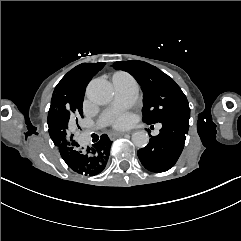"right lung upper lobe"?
<instances>
[{
    "instance_id": "cb5924a9",
    "label": "right lung upper lobe",
    "mask_w": 241,
    "mask_h": 241,
    "mask_svg": "<svg viewBox=\"0 0 241 241\" xmlns=\"http://www.w3.org/2000/svg\"><path fill=\"white\" fill-rule=\"evenodd\" d=\"M49 135L57 147L67 145L70 142L66 128L60 123L59 120L48 116Z\"/></svg>"
}]
</instances>
